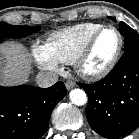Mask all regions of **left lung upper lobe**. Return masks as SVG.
Instances as JSON below:
<instances>
[{"instance_id":"left-lung-upper-lobe-1","label":"left lung upper lobe","mask_w":139,"mask_h":139,"mask_svg":"<svg viewBox=\"0 0 139 139\" xmlns=\"http://www.w3.org/2000/svg\"><path fill=\"white\" fill-rule=\"evenodd\" d=\"M113 21L116 20L114 17H110ZM120 31L124 36V49L125 51L139 47V35L127 24L120 22L119 24Z\"/></svg>"}]
</instances>
